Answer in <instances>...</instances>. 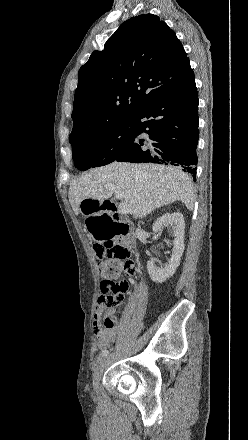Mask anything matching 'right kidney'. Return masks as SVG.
Wrapping results in <instances>:
<instances>
[{
    "label": "right kidney",
    "mask_w": 248,
    "mask_h": 440,
    "mask_svg": "<svg viewBox=\"0 0 248 440\" xmlns=\"http://www.w3.org/2000/svg\"><path fill=\"white\" fill-rule=\"evenodd\" d=\"M165 227L169 228L174 237L172 255L169 262L161 267L156 265L155 258H151L147 262L148 273L155 283H163L174 275L184 251L185 221L183 215L179 212L166 213L157 219L152 229L156 233L161 232Z\"/></svg>",
    "instance_id": "1"
}]
</instances>
